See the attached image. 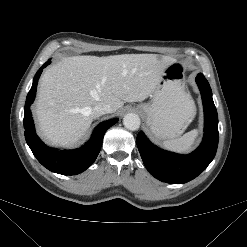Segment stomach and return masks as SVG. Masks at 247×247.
I'll list each match as a JSON object with an SVG mask.
<instances>
[{
    "mask_svg": "<svg viewBox=\"0 0 247 247\" xmlns=\"http://www.w3.org/2000/svg\"><path fill=\"white\" fill-rule=\"evenodd\" d=\"M182 76V66L177 62L170 64L152 92V100L137 107L150 131L160 139L179 137L195 115L194 105L188 102L181 85Z\"/></svg>",
    "mask_w": 247,
    "mask_h": 247,
    "instance_id": "1",
    "label": "stomach"
}]
</instances>
